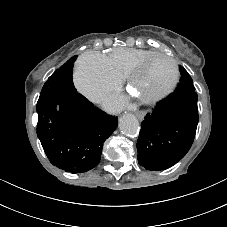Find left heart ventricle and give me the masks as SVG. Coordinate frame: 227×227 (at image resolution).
I'll use <instances>...</instances> for the list:
<instances>
[{"label":"left heart ventricle","mask_w":227,"mask_h":227,"mask_svg":"<svg viewBox=\"0 0 227 227\" xmlns=\"http://www.w3.org/2000/svg\"><path fill=\"white\" fill-rule=\"evenodd\" d=\"M173 77V65L164 57L152 60L137 77L133 91L138 97H147L164 90Z\"/></svg>","instance_id":"1"}]
</instances>
